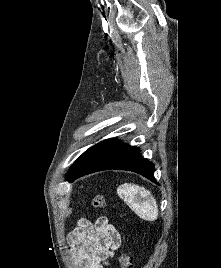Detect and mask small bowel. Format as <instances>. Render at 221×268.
<instances>
[{
	"mask_svg": "<svg viewBox=\"0 0 221 268\" xmlns=\"http://www.w3.org/2000/svg\"><path fill=\"white\" fill-rule=\"evenodd\" d=\"M68 241L77 268H105L121 245V235L107 217L100 216L94 223L81 220Z\"/></svg>",
	"mask_w": 221,
	"mask_h": 268,
	"instance_id": "1",
	"label": "small bowel"
}]
</instances>
